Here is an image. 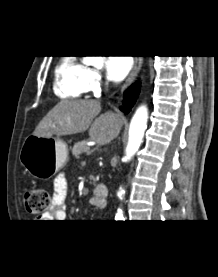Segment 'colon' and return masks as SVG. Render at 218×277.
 I'll use <instances>...</instances> for the list:
<instances>
[{"mask_svg":"<svg viewBox=\"0 0 218 277\" xmlns=\"http://www.w3.org/2000/svg\"><path fill=\"white\" fill-rule=\"evenodd\" d=\"M23 202L28 213L33 215L43 214L50 206V192L41 187L26 189L23 195Z\"/></svg>","mask_w":218,"mask_h":277,"instance_id":"5ec220e1","label":"colon"}]
</instances>
